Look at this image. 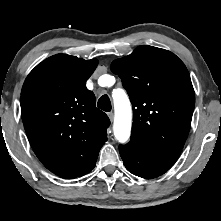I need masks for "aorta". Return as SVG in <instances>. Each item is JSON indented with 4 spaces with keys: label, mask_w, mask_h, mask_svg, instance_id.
Wrapping results in <instances>:
<instances>
[{
    "label": "aorta",
    "mask_w": 221,
    "mask_h": 221,
    "mask_svg": "<svg viewBox=\"0 0 221 221\" xmlns=\"http://www.w3.org/2000/svg\"><path fill=\"white\" fill-rule=\"evenodd\" d=\"M115 105L114 135L120 143H125L131 133L132 110L125 92L117 89L113 92Z\"/></svg>",
    "instance_id": "762f6f07"
}]
</instances>
